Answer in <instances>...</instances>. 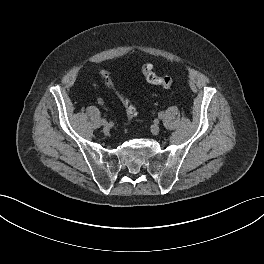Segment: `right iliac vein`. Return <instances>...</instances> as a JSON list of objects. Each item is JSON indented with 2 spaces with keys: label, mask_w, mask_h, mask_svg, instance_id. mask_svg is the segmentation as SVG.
I'll return each instance as SVG.
<instances>
[{
  "label": "right iliac vein",
  "mask_w": 264,
  "mask_h": 264,
  "mask_svg": "<svg viewBox=\"0 0 264 264\" xmlns=\"http://www.w3.org/2000/svg\"><path fill=\"white\" fill-rule=\"evenodd\" d=\"M103 130H104V133L107 134L109 132V130H110L109 124L105 123Z\"/></svg>",
  "instance_id": "63e3f726"
}]
</instances>
